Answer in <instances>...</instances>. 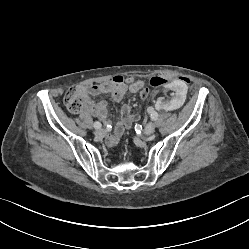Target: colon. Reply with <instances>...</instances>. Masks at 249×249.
Returning a JSON list of instances; mask_svg holds the SVG:
<instances>
[{
    "mask_svg": "<svg viewBox=\"0 0 249 249\" xmlns=\"http://www.w3.org/2000/svg\"><path fill=\"white\" fill-rule=\"evenodd\" d=\"M166 82L167 80L162 76H154L150 80V84L153 87L164 85ZM187 82H189L188 79ZM147 95H148V89L141 92L140 96L142 99H144L147 97ZM63 102L68 111L71 112L72 114L80 113L85 109L87 104L84 95L76 88H71L65 93Z\"/></svg>",
    "mask_w": 249,
    "mask_h": 249,
    "instance_id": "colon-1",
    "label": "colon"
}]
</instances>
